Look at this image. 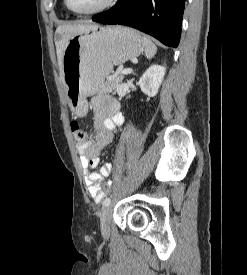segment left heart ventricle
<instances>
[{"instance_id":"obj_1","label":"left heart ventricle","mask_w":247,"mask_h":275,"mask_svg":"<svg viewBox=\"0 0 247 275\" xmlns=\"http://www.w3.org/2000/svg\"><path fill=\"white\" fill-rule=\"evenodd\" d=\"M107 0H68L72 9L77 11H89L105 3Z\"/></svg>"}]
</instances>
